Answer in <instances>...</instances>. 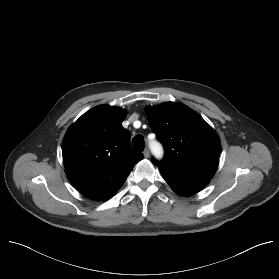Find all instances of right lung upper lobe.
Returning a JSON list of instances; mask_svg holds the SVG:
<instances>
[{
	"label": "right lung upper lobe",
	"mask_w": 279,
	"mask_h": 279,
	"mask_svg": "<svg viewBox=\"0 0 279 279\" xmlns=\"http://www.w3.org/2000/svg\"><path fill=\"white\" fill-rule=\"evenodd\" d=\"M127 112L99 105L71 125L62 142L63 162L71 184L92 200H106L123 185L134 165L144 158L131 148L121 122Z\"/></svg>",
	"instance_id": "obj_1"
}]
</instances>
